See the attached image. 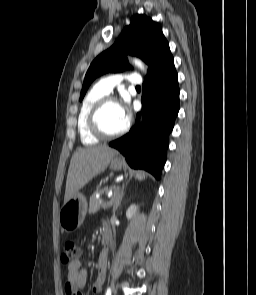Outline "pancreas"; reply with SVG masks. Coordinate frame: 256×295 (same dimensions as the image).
Here are the masks:
<instances>
[{
	"mask_svg": "<svg viewBox=\"0 0 256 295\" xmlns=\"http://www.w3.org/2000/svg\"><path fill=\"white\" fill-rule=\"evenodd\" d=\"M118 189H114V195L116 194ZM108 188L105 189H101L98 191L99 194H103L104 192H107ZM96 194L94 193L91 197H90V205H89V213H96L98 212L101 208H107V202L101 200V199H97Z\"/></svg>",
	"mask_w": 256,
	"mask_h": 295,
	"instance_id": "pancreas-1",
	"label": "pancreas"
}]
</instances>
